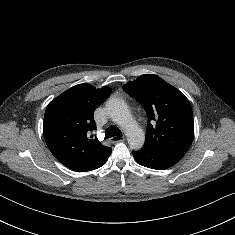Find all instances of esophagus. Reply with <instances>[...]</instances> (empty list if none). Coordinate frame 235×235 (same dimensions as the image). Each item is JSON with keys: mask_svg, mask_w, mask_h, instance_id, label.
<instances>
[{"mask_svg": "<svg viewBox=\"0 0 235 235\" xmlns=\"http://www.w3.org/2000/svg\"><path fill=\"white\" fill-rule=\"evenodd\" d=\"M124 140H125L124 136H122V137L114 136V137L110 138V142L113 143V144L124 141Z\"/></svg>", "mask_w": 235, "mask_h": 235, "instance_id": "1", "label": "esophagus"}]
</instances>
